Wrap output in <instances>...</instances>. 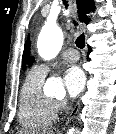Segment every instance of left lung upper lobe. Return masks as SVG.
I'll use <instances>...</instances> for the list:
<instances>
[{"label": "left lung upper lobe", "mask_w": 116, "mask_h": 134, "mask_svg": "<svg viewBox=\"0 0 116 134\" xmlns=\"http://www.w3.org/2000/svg\"><path fill=\"white\" fill-rule=\"evenodd\" d=\"M33 62H34V59L31 57L29 65H32Z\"/></svg>", "instance_id": "1"}]
</instances>
